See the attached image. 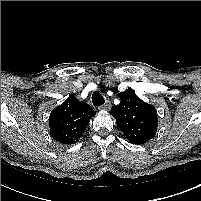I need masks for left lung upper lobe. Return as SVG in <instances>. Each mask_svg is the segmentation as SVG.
Masks as SVG:
<instances>
[{"label":"left lung upper lobe","instance_id":"5c2ea615","mask_svg":"<svg viewBox=\"0 0 201 201\" xmlns=\"http://www.w3.org/2000/svg\"><path fill=\"white\" fill-rule=\"evenodd\" d=\"M121 102L112 107L110 114L115 117L120 130L132 144H143L152 139L158 127L156 109L142 101L133 91L118 94Z\"/></svg>","mask_w":201,"mask_h":201}]
</instances>
